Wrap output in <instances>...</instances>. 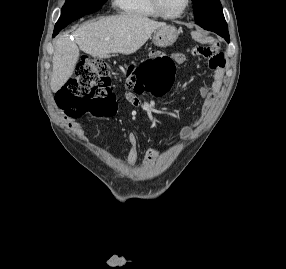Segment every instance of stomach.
<instances>
[{"instance_id": "obj_1", "label": "stomach", "mask_w": 286, "mask_h": 269, "mask_svg": "<svg viewBox=\"0 0 286 269\" xmlns=\"http://www.w3.org/2000/svg\"><path fill=\"white\" fill-rule=\"evenodd\" d=\"M178 30L171 25H165L154 32L153 42L158 47L172 45L178 38Z\"/></svg>"}]
</instances>
